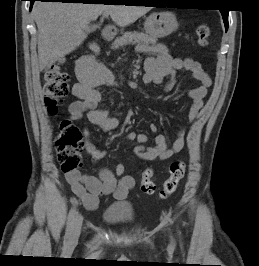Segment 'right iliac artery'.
I'll use <instances>...</instances> for the list:
<instances>
[{
    "mask_svg": "<svg viewBox=\"0 0 259 266\" xmlns=\"http://www.w3.org/2000/svg\"><path fill=\"white\" fill-rule=\"evenodd\" d=\"M76 215V206L70 210L67 220V227H66V234H65V241L68 242L70 240L71 230L74 222V218Z\"/></svg>",
    "mask_w": 259,
    "mask_h": 266,
    "instance_id": "right-iliac-artery-1",
    "label": "right iliac artery"
}]
</instances>
